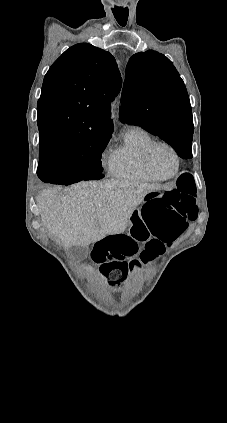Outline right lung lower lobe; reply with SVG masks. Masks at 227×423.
Returning a JSON list of instances; mask_svg holds the SVG:
<instances>
[{"mask_svg":"<svg viewBox=\"0 0 227 423\" xmlns=\"http://www.w3.org/2000/svg\"><path fill=\"white\" fill-rule=\"evenodd\" d=\"M38 177L45 183L70 185L81 181L69 174V169L50 161H39Z\"/></svg>","mask_w":227,"mask_h":423,"instance_id":"1","label":"right lung lower lobe"}]
</instances>
